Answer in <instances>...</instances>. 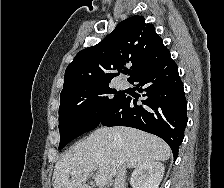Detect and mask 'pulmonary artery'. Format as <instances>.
<instances>
[{
	"mask_svg": "<svg viewBox=\"0 0 224 188\" xmlns=\"http://www.w3.org/2000/svg\"><path fill=\"white\" fill-rule=\"evenodd\" d=\"M119 86L120 88H125L127 86V83L125 81H120Z\"/></svg>",
	"mask_w": 224,
	"mask_h": 188,
	"instance_id": "e3ab8cb5",
	"label": "pulmonary artery"
}]
</instances>
